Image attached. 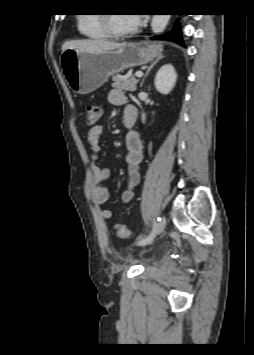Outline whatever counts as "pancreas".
Listing matches in <instances>:
<instances>
[{
  "mask_svg": "<svg viewBox=\"0 0 254 355\" xmlns=\"http://www.w3.org/2000/svg\"><path fill=\"white\" fill-rule=\"evenodd\" d=\"M113 87L119 88L120 90L134 92L137 89L138 79L131 77L129 79H124L120 75H114L112 77Z\"/></svg>",
  "mask_w": 254,
  "mask_h": 355,
  "instance_id": "obj_1",
  "label": "pancreas"
}]
</instances>
